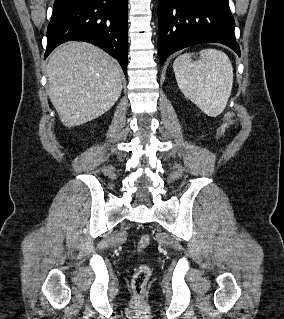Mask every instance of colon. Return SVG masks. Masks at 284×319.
Here are the masks:
<instances>
[{
  "mask_svg": "<svg viewBox=\"0 0 284 319\" xmlns=\"http://www.w3.org/2000/svg\"><path fill=\"white\" fill-rule=\"evenodd\" d=\"M234 120L235 114L233 112H228L224 115L222 123L219 126L218 130L220 137L226 134L227 130L234 123ZM150 242L151 238L149 235H141L137 243V249L139 251L146 249L149 246ZM149 277L150 268L145 264L140 265L132 278V289L136 295H141L144 292Z\"/></svg>",
  "mask_w": 284,
  "mask_h": 319,
  "instance_id": "obj_1",
  "label": "colon"
}]
</instances>
